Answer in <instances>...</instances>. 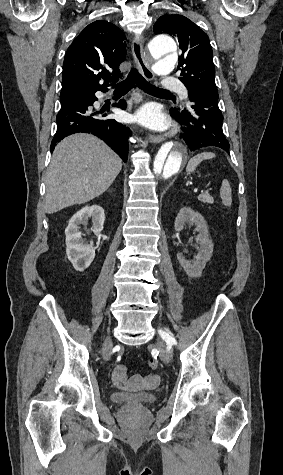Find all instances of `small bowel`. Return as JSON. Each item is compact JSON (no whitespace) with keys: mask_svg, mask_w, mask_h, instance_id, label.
Returning <instances> with one entry per match:
<instances>
[{"mask_svg":"<svg viewBox=\"0 0 283 475\" xmlns=\"http://www.w3.org/2000/svg\"><path fill=\"white\" fill-rule=\"evenodd\" d=\"M111 380L113 385L118 389H129L130 383L134 385H139L141 383V373L139 371H134L132 377L129 379L127 376L126 366L123 364H118L114 367ZM145 380L149 383L151 387L155 386L159 381L158 374H152L145 377Z\"/></svg>","mask_w":283,"mask_h":475,"instance_id":"c3829d8e","label":"small bowel"}]
</instances>
